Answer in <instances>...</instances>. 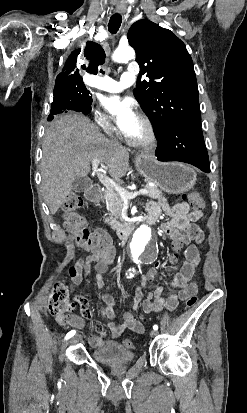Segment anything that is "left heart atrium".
<instances>
[{
  "mask_svg": "<svg viewBox=\"0 0 247 413\" xmlns=\"http://www.w3.org/2000/svg\"><path fill=\"white\" fill-rule=\"evenodd\" d=\"M103 106L112 114L119 117L120 128L124 135L129 136L136 128H139L142 119L134 103L118 95L102 98Z\"/></svg>",
  "mask_w": 247,
  "mask_h": 413,
  "instance_id": "1",
  "label": "left heart atrium"
}]
</instances>
